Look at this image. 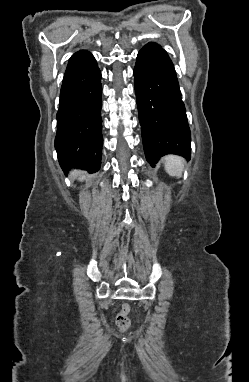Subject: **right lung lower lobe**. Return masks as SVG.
<instances>
[{
    "instance_id": "1",
    "label": "right lung lower lobe",
    "mask_w": 249,
    "mask_h": 382,
    "mask_svg": "<svg viewBox=\"0 0 249 382\" xmlns=\"http://www.w3.org/2000/svg\"><path fill=\"white\" fill-rule=\"evenodd\" d=\"M101 73L92 56L64 76L57 113L55 148L65 173L100 169L102 158Z\"/></svg>"
}]
</instances>
